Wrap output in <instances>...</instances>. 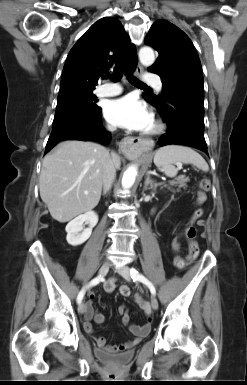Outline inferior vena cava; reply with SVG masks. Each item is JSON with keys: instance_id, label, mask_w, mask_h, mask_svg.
I'll list each match as a JSON object with an SVG mask.
<instances>
[{"instance_id": "1", "label": "inferior vena cava", "mask_w": 247, "mask_h": 385, "mask_svg": "<svg viewBox=\"0 0 247 385\" xmlns=\"http://www.w3.org/2000/svg\"><path fill=\"white\" fill-rule=\"evenodd\" d=\"M109 130L113 131L114 129L109 128ZM115 175L116 170L113 161L110 156H107L104 163V172L102 178L104 191L107 192L111 188Z\"/></svg>"}]
</instances>
